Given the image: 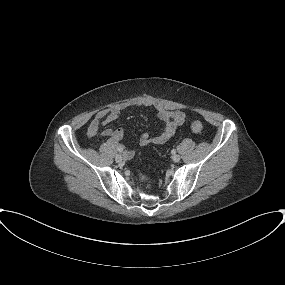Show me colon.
<instances>
[{
    "label": "colon",
    "mask_w": 285,
    "mask_h": 285,
    "mask_svg": "<svg viewBox=\"0 0 285 285\" xmlns=\"http://www.w3.org/2000/svg\"><path fill=\"white\" fill-rule=\"evenodd\" d=\"M191 128L197 134H200L203 131V126L199 121L192 122ZM140 179L144 182H149V178L145 175H140Z\"/></svg>",
    "instance_id": "1"
}]
</instances>
